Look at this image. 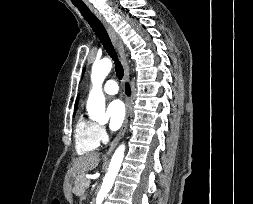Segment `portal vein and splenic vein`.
Listing matches in <instances>:
<instances>
[{
    "label": "portal vein and splenic vein",
    "instance_id": "obj_1",
    "mask_svg": "<svg viewBox=\"0 0 253 204\" xmlns=\"http://www.w3.org/2000/svg\"><path fill=\"white\" fill-rule=\"evenodd\" d=\"M90 183H91V181L88 179V180L86 181V183H85V186H86V187H89V186H90Z\"/></svg>",
    "mask_w": 253,
    "mask_h": 204
}]
</instances>
